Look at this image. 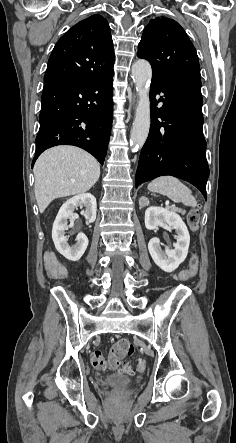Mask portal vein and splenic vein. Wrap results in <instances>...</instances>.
<instances>
[{"mask_svg": "<svg viewBox=\"0 0 236 443\" xmlns=\"http://www.w3.org/2000/svg\"><path fill=\"white\" fill-rule=\"evenodd\" d=\"M166 206H169V202H166Z\"/></svg>", "mask_w": 236, "mask_h": 443, "instance_id": "18ae733b", "label": "portal vein and splenic vein"}]
</instances>
